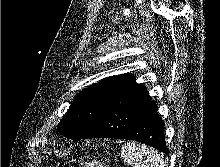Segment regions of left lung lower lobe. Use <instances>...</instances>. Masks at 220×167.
Wrapping results in <instances>:
<instances>
[{
  "label": "left lung lower lobe",
  "mask_w": 220,
  "mask_h": 167,
  "mask_svg": "<svg viewBox=\"0 0 220 167\" xmlns=\"http://www.w3.org/2000/svg\"><path fill=\"white\" fill-rule=\"evenodd\" d=\"M89 138L131 139L169 153L157 106L145 87L135 82L116 96L81 139Z\"/></svg>",
  "instance_id": "obj_1"
}]
</instances>
